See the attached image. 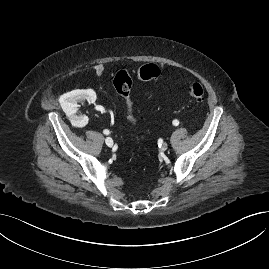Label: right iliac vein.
I'll return each mask as SVG.
<instances>
[{
  "label": "right iliac vein",
  "mask_w": 269,
  "mask_h": 269,
  "mask_svg": "<svg viewBox=\"0 0 269 269\" xmlns=\"http://www.w3.org/2000/svg\"><path fill=\"white\" fill-rule=\"evenodd\" d=\"M105 143H106V145H107L108 147H112V146H113V140H112V138L107 137V138L105 139Z\"/></svg>",
  "instance_id": "1"
}]
</instances>
